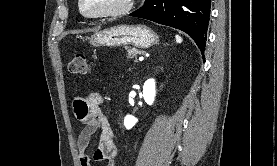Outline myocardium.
I'll use <instances>...</instances> for the list:
<instances>
[{"instance_id":"f54148a6","label":"myocardium","mask_w":277,"mask_h":166,"mask_svg":"<svg viewBox=\"0 0 277 166\" xmlns=\"http://www.w3.org/2000/svg\"><path fill=\"white\" fill-rule=\"evenodd\" d=\"M83 2L84 0H78V8L80 13L83 16L92 19L121 17L128 14L134 6V0H126L125 3L119 8L109 9L96 13H90L84 9Z\"/></svg>"}]
</instances>
